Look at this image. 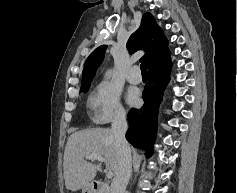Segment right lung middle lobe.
I'll use <instances>...</instances> for the list:
<instances>
[{
    "label": "right lung middle lobe",
    "instance_id": "dd1d6c3e",
    "mask_svg": "<svg viewBox=\"0 0 237 193\" xmlns=\"http://www.w3.org/2000/svg\"><path fill=\"white\" fill-rule=\"evenodd\" d=\"M88 88H89V87H87V88H82L81 91L87 92Z\"/></svg>",
    "mask_w": 237,
    "mask_h": 193
}]
</instances>
